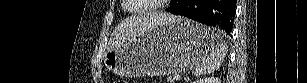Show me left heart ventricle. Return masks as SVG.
<instances>
[{
  "mask_svg": "<svg viewBox=\"0 0 307 83\" xmlns=\"http://www.w3.org/2000/svg\"><path fill=\"white\" fill-rule=\"evenodd\" d=\"M156 1V0H155ZM159 2V1H158ZM138 3V2H137ZM139 3H144V2H139ZM147 5L145 4H143V5H133V9H135V10H137V9H141V8H144V7H146Z\"/></svg>",
  "mask_w": 307,
  "mask_h": 83,
  "instance_id": "b2bd125f",
  "label": "left heart ventricle"
}]
</instances>
